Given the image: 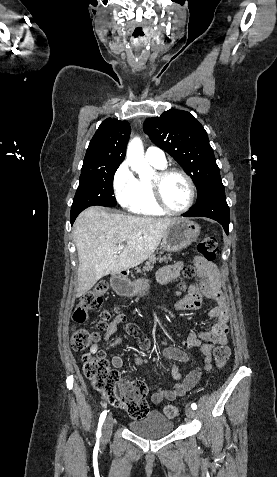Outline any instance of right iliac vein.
Returning a JSON list of instances; mask_svg holds the SVG:
<instances>
[{
    "label": "right iliac vein",
    "instance_id": "1",
    "mask_svg": "<svg viewBox=\"0 0 277 477\" xmlns=\"http://www.w3.org/2000/svg\"><path fill=\"white\" fill-rule=\"evenodd\" d=\"M112 428H113V417L109 415L103 426V433H102V441L106 442L110 439L111 434H112Z\"/></svg>",
    "mask_w": 277,
    "mask_h": 477
}]
</instances>
